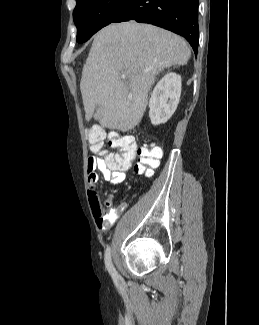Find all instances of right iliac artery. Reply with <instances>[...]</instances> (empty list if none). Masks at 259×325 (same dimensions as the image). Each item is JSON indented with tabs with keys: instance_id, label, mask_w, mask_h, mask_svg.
Segmentation results:
<instances>
[{
	"instance_id": "obj_1",
	"label": "right iliac artery",
	"mask_w": 259,
	"mask_h": 325,
	"mask_svg": "<svg viewBox=\"0 0 259 325\" xmlns=\"http://www.w3.org/2000/svg\"><path fill=\"white\" fill-rule=\"evenodd\" d=\"M104 261H105V266H106L108 272L110 273L113 280L116 281L118 279L119 275H118L116 269L114 268L112 260H111V249H110V247H107V249L105 251Z\"/></svg>"
}]
</instances>
